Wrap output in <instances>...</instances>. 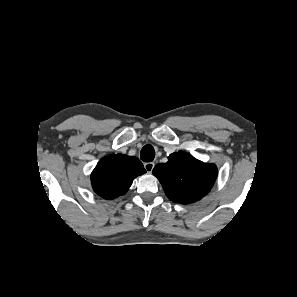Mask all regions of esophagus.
Instances as JSON below:
<instances>
[{
	"label": "esophagus",
	"instance_id": "obj_1",
	"mask_svg": "<svg viewBox=\"0 0 297 297\" xmlns=\"http://www.w3.org/2000/svg\"><path fill=\"white\" fill-rule=\"evenodd\" d=\"M154 163L153 162H147L144 164V168L146 169L147 172H152L153 168H154Z\"/></svg>",
	"mask_w": 297,
	"mask_h": 297
}]
</instances>
